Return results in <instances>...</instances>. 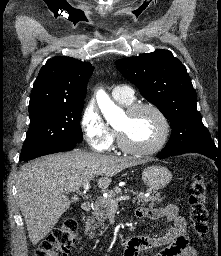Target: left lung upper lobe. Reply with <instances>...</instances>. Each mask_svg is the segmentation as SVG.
Here are the masks:
<instances>
[{
    "label": "left lung upper lobe",
    "mask_w": 221,
    "mask_h": 256,
    "mask_svg": "<svg viewBox=\"0 0 221 256\" xmlns=\"http://www.w3.org/2000/svg\"><path fill=\"white\" fill-rule=\"evenodd\" d=\"M120 73L138 88L170 121L166 146L211 139L197 111L196 92L186 67L164 49L116 61Z\"/></svg>",
    "instance_id": "left-lung-upper-lobe-1"
}]
</instances>
